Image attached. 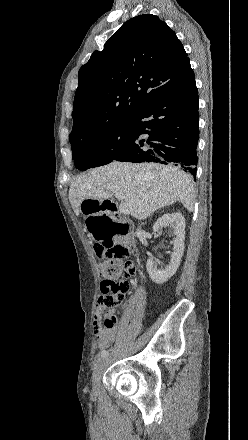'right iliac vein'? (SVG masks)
<instances>
[{
    "mask_svg": "<svg viewBox=\"0 0 248 440\" xmlns=\"http://www.w3.org/2000/svg\"><path fill=\"white\" fill-rule=\"evenodd\" d=\"M107 360L108 359L106 357L99 359L94 367V371L92 375V384H93V390L95 392H97L99 389L100 379L107 365Z\"/></svg>",
    "mask_w": 248,
    "mask_h": 440,
    "instance_id": "obj_1",
    "label": "right iliac vein"
}]
</instances>
